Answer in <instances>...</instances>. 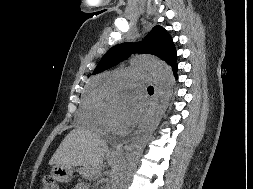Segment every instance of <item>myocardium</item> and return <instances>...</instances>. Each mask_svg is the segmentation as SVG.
Wrapping results in <instances>:
<instances>
[{
  "mask_svg": "<svg viewBox=\"0 0 253 189\" xmlns=\"http://www.w3.org/2000/svg\"><path fill=\"white\" fill-rule=\"evenodd\" d=\"M108 129L112 132H119L121 130L111 111L108 113Z\"/></svg>",
  "mask_w": 253,
  "mask_h": 189,
  "instance_id": "myocardium-1",
  "label": "myocardium"
}]
</instances>
